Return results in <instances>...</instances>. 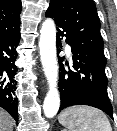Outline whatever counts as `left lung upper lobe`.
I'll return each mask as SVG.
<instances>
[{
  "instance_id": "5c2ea615",
  "label": "left lung upper lobe",
  "mask_w": 117,
  "mask_h": 131,
  "mask_svg": "<svg viewBox=\"0 0 117 131\" xmlns=\"http://www.w3.org/2000/svg\"><path fill=\"white\" fill-rule=\"evenodd\" d=\"M46 12L67 28L78 48L101 66H106L100 20L93 0H51Z\"/></svg>"
}]
</instances>
